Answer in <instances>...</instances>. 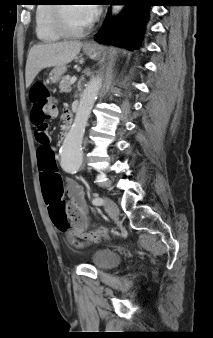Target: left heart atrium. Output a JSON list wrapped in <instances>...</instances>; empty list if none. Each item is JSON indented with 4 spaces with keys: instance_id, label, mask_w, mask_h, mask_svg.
Here are the masks:
<instances>
[{
    "instance_id": "1",
    "label": "left heart atrium",
    "mask_w": 213,
    "mask_h": 338,
    "mask_svg": "<svg viewBox=\"0 0 213 338\" xmlns=\"http://www.w3.org/2000/svg\"><path fill=\"white\" fill-rule=\"evenodd\" d=\"M97 9L98 8L95 5H82V7H80L84 18L89 23H92L96 19L98 15Z\"/></svg>"
}]
</instances>
